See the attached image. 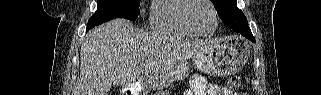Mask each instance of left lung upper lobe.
Listing matches in <instances>:
<instances>
[{"label": "left lung upper lobe", "instance_id": "left-lung-upper-lobe-1", "mask_svg": "<svg viewBox=\"0 0 321 95\" xmlns=\"http://www.w3.org/2000/svg\"><path fill=\"white\" fill-rule=\"evenodd\" d=\"M211 2L214 4L219 17L229 28L235 32L248 28L247 18L238 9L236 0H211Z\"/></svg>", "mask_w": 321, "mask_h": 95}]
</instances>
